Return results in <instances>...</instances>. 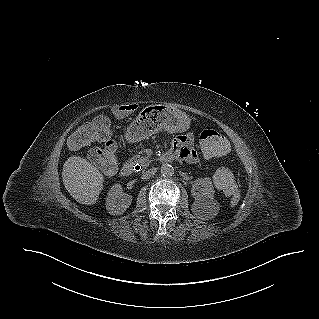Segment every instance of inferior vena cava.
I'll return each instance as SVG.
<instances>
[{
    "mask_svg": "<svg viewBox=\"0 0 319 319\" xmlns=\"http://www.w3.org/2000/svg\"><path fill=\"white\" fill-rule=\"evenodd\" d=\"M156 172V169H150L148 171H146L143 175H142V178L143 179H148L150 178L152 175H154Z\"/></svg>",
    "mask_w": 319,
    "mask_h": 319,
    "instance_id": "1",
    "label": "inferior vena cava"
}]
</instances>
